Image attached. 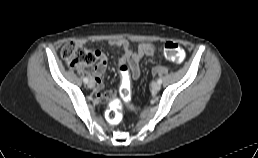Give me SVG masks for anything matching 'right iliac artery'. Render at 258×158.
<instances>
[{
    "label": "right iliac artery",
    "instance_id": "82829eb1",
    "mask_svg": "<svg viewBox=\"0 0 258 158\" xmlns=\"http://www.w3.org/2000/svg\"><path fill=\"white\" fill-rule=\"evenodd\" d=\"M83 81H84V83H88V78L85 77V78L83 79Z\"/></svg>",
    "mask_w": 258,
    "mask_h": 158
}]
</instances>
